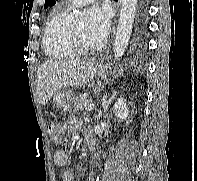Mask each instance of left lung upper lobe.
Wrapping results in <instances>:
<instances>
[{"mask_svg": "<svg viewBox=\"0 0 197 181\" xmlns=\"http://www.w3.org/2000/svg\"><path fill=\"white\" fill-rule=\"evenodd\" d=\"M55 4V0H45V8H47L48 6H52Z\"/></svg>", "mask_w": 197, "mask_h": 181, "instance_id": "5c2ea615", "label": "left lung upper lobe"}]
</instances>
